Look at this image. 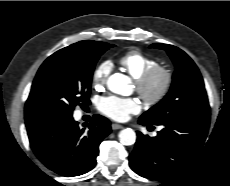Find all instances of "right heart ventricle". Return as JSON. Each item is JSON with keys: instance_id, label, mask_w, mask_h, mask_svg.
Segmentation results:
<instances>
[{"instance_id": "1", "label": "right heart ventricle", "mask_w": 230, "mask_h": 186, "mask_svg": "<svg viewBox=\"0 0 230 186\" xmlns=\"http://www.w3.org/2000/svg\"><path fill=\"white\" fill-rule=\"evenodd\" d=\"M118 62L135 79H138L148 69L158 65L157 59L136 49L121 55Z\"/></svg>"}]
</instances>
